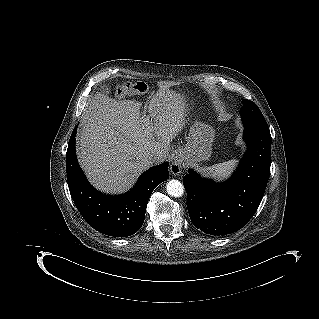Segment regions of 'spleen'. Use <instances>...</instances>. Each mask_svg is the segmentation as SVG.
I'll return each mask as SVG.
<instances>
[{"label": "spleen", "mask_w": 319, "mask_h": 319, "mask_svg": "<svg viewBox=\"0 0 319 319\" xmlns=\"http://www.w3.org/2000/svg\"><path fill=\"white\" fill-rule=\"evenodd\" d=\"M237 161L231 160L219 164H215L210 167L203 168V171L207 174H210L213 177L219 176V177H226L228 176L233 168L235 167Z\"/></svg>", "instance_id": "3e777b00"}]
</instances>
